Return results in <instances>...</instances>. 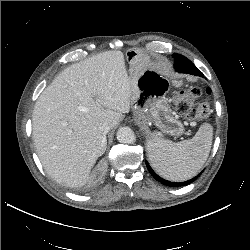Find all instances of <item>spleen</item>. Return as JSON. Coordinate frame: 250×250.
<instances>
[{"mask_svg":"<svg viewBox=\"0 0 250 250\" xmlns=\"http://www.w3.org/2000/svg\"><path fill=\"white\" fill-rule=\"evenodd\" d=\"M213 129L208 123L200 126L192 139L172 142L160 137L147 145L148 158L164 178L180 182L195 176L205 163L212 145Z\"/></svg>","mask_w":250,"mask_h":250,"instance_id":"obj_1","label":"spleen"}]
</instances>
